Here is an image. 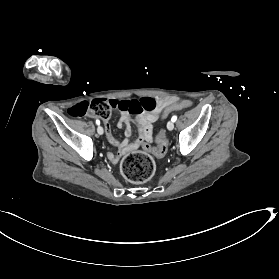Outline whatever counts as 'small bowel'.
I'll use <instances>...</instances> for the list:
<instances>
[{"label":"small bowel","instance_id":"1","mask_svg":"<svg viewBox=\"0 0 279 279\" xmlns=\"http://www.w3.org/2000/svg\"><path fill=\"white\" fill-rule=\"evenodd\" d=\"M175 102L170 97H158L156 100V108L153 111H145L135 118L138 127L139 138L130 141L128 138L132 135L131 117L127 112H123L118 121V128H125V136L127 139L119 141L112 135V129L108 121L105 122V134L108 142L118 148L117 153L108 152L107 156L110 161L117 162L119 157L128 149L135 148L144 142H151L153 139L152 124L159 118L162 110L169 104Z\"/></svg>","mask_w":279,"mask_h":279}]
</instances>
